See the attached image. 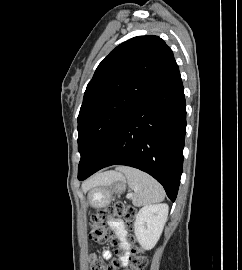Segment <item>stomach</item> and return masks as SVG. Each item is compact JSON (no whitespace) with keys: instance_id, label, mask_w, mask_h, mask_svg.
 Listing matches in <instances>:
<instances>
[{"instance_id":"stomach-1","label":"stomach","mask_w":242,"mask_h":270,"mask_svg":"<svg viewBox=\"0 0 242 270\" xmlns=\"http://www.w3.org/2000/svg\"><path fill=\"white\" fill-rule=\"evenodd\" d=\"M125 187V179L120 174H113L105 183L95 185L89 192V202L92 207H105L109 204L114 192H121Z\"/></svg>"}]
</instances>
